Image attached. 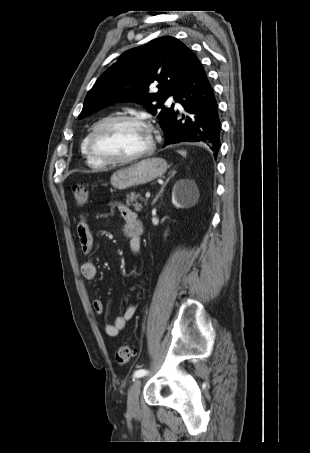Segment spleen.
<instances>
[{"mask_svg":"<svg viewBox=\"0 0 310 453\" xmlns=\"http://www.w3.org/2000/svg\"><path fill=\"white\" fill-rule=\"evenodd\" d=\"M179 153L183 156H186V152L185 151H179Z\"/></svg>","mask_w":310,"mask_h":453,"instance_id":"1","label":"spleen"}]
</instances>
